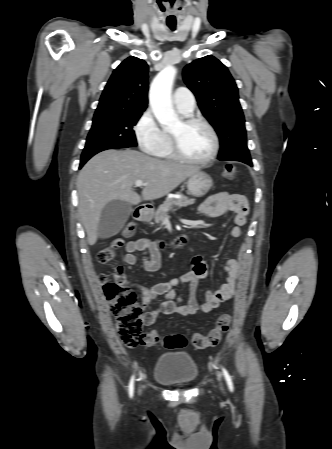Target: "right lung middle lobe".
Segmentation results:
<instances>
[{"instance_id": "right-lung-middle-lobe-1", "label": "right lung middle lobe", "mask_w": 332, "mask_h": 449, "mask_svg": "<svg viewBox=\"0 0 332 449\" xmlns=\"http://www.w3.org/2000/svg\"><path fill=\"white\" fill-rule=\"evenodd\" d=\"M142 112H115L94 115L82 157L107 149L137 146L133 126Z\"/></svg>"}]
</instances>
